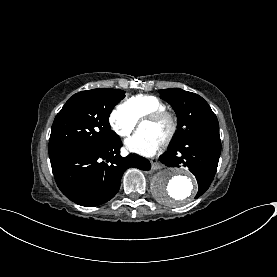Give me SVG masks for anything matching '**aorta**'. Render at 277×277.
Segmentation results:
<instances>
[{
    "instance_id": "aorta-1",
    "label": "aorta",
    "mask_w": 277,
    "mask_h": 277,
    "mask_svg": "<svg viewBox=\"0 0 277 277\" xmlns=\"http://www.w3.org/2000/svg\"><path fill=\"white\" fill-rule=\"evenodd\" d=\"M154 195L164 204H185L197 192V182L187 171L163 169L152 180Z\"/></svg>"
}]
</instances>
